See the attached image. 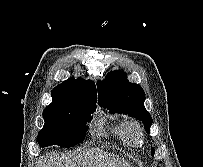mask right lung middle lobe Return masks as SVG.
Here are the masks:
<instances>
[{"instance_id": "obj_1", "label": "right lung middle lobe", "mask_w": 203, "mask_h": 167, "mask_svg": "<svg viewBox=\"0 0 203 167\" xmlns=\"http://www.w3.org/2000/svg\"><path fill=\"white\" fill-rule=\"evenodd\" d=\"M95 105L94 101H83L58 109L44 110L45 124L38 133L40 146L71 147L82 142L88 129L85 123L91 121Z\"/></svg>"}]
</instances>
